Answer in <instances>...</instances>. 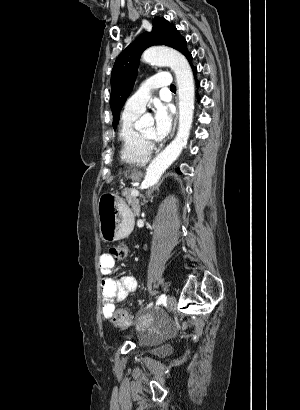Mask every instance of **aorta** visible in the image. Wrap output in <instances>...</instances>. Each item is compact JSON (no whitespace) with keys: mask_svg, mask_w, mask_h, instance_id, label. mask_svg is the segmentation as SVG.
I'll list each match as a JSON object with an SVG mask.
<instances>
[{"mask_svg":"<svg viewBox=\"0 0 300 410\" xmlns=\"http://www.w3.org/2000/svg\"><path fill=\"white\" fill-rule=\"evenodd\" d=\"M142 60L146 63L170 67L176 75L179 96L177 135L149 164L143 182L149 188L157 184L162 174L179 157L187 144L193 122L195 89L190 65L180 52L164 47H151L144 51ZM145 122V118H141L138 124L143 126Z\"/></svg>","mask_w":300,"mask_h":410,"instance_id":"obj_1","label":"aorta"}]
</instances>
